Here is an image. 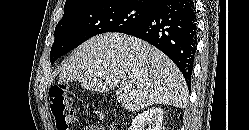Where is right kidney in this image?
Segmentation results:
<instances>
[{"label": "right kidney", "mask_w": 249, "mask_h": 130, "mask_svg": "<svg viewBox=\"0 0 249 130\" xmlns=\"http://www.w3.org/2000/svg\"><path fill=\"white\" fill-rule=\"evenodd\" d=\"M163 114V110L158 107L145 110L132 120L129 130H144L146 125L149 126L147 130H161Z\"/></svg>", "instance_id": "ca27d5eb"}]
</instances>
